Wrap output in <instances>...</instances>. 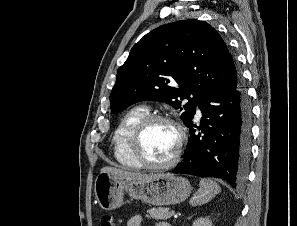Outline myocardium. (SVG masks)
<instances>
[{"mask_svg":"<svg viewBox=\"0 0 297 226\" xmlns=\"http://www.w3.org/2000/svg\"><path fill=\"white\" fill-rule=\"evenodd\" d=\"M155 122H165L174 127L178 135L177 146L172 157L163 163L150 162L142 152V138L147 128ZM186 132L182 125L174 117L165 114H148L142 118L134 127L129 148L132 156L143 168L151 170H163L174 167L181 159L186 143Z\"/></svg>","mask_w":297,"mask_h":226,"instance_id":"myocardium-1","label":"myocardium"}]
</instances>
